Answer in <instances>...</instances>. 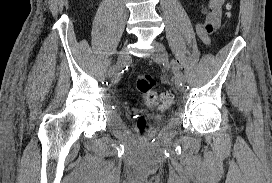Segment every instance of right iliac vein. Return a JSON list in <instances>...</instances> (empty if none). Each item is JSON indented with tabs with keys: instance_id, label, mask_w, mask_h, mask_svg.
<instances>
[{
	"instance_id": "1",
	"label": "right iliac vein",
	"mask_w": 272,
	"mask_h": 183,
	"mask_svg": "<svg viewBox=\"0 0 272 183\" xmlns=\"http://www.w3.org/2000/svg\"><path fill=\"white\" fill-rule=\"evenodd\" d=\"M129 61V54H128V49L126 46H124L121 51L119 52L117 64L113 70L109 71V77L116 78L120 71L126 66V64Z\"/></svg>"
}]
</instances>
